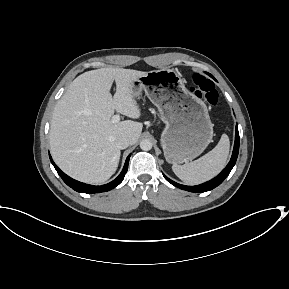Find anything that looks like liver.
Wrapping results in <instances>:
<instances>
[{"label": "liver", "instance_id": "1", "mask_svg": "<svg viewBox=\"0 0 289 289\" xmlns=\"http://www.w3.org/2000/svg\"><path fill=\"white\" fill-rule=\"evenodd\" d=\"M146 73L109 67L87 71L71 82L54 108L49 135L52 157L66 174L99 184L115 173L121 155L117 139L126 136L135 144L143 124L132 120L113 123L112 117L115 111L140 117L132 83Z\"/></svg>", "mask_w": 289, "mask_h": 289}]
</instances>
